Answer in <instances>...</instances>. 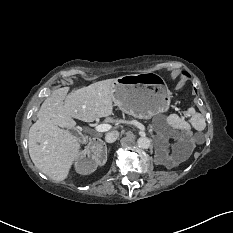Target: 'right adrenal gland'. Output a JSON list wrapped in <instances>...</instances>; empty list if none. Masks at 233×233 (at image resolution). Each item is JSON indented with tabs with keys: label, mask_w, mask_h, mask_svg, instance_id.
<instances>
[{
	"label": "right adrenal gland",
	"mask_w": 233,
	"mask_h": 233,
	"mask_svg": "<svg viewBox=\"0 0 233 233\" xmlns=\"http://www.w3.org/2000/svg\"><path fill=\"white\" fill-rule=\"evenodd\" d=\"M105 144V143H104ZM105 150H106V152H107V147L105 146Z\"/></svg>",
	"instance_id": "1"
}]
</instances>
